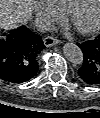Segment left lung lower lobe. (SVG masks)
Segmentation results:
<instances>
[{
    "label": "left lung lower lobe",
    "instance_id": "0a47b994",
    "mask_svg": "<svg viewBox=\"0 0 100 118\" xmlns=\"http://www.w3.org/2000/svg\"><path fill=\"white\" fill-rule=\"evenodd\" d=\"M84 56L82 67L78 70L79 78L89 85H100V35L78 44Z\"/></svg>",
    "mask_w": 100,
    "mask_h": 118
}]
</instances>
